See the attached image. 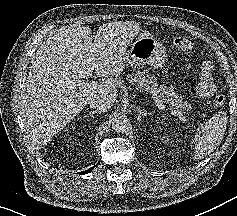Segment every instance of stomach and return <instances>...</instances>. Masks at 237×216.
Listing matches in <instances>:
<instances>
[{
	"instance_id": "stomach-1",
	"label": "stomach",
	"mask_w": 237,
	"mask_h": 216,
	"mask_svg": "<svg viewBox=\"0 0 237 216\" xmlns=\"http://www.w3.org/2000/svg\"><path fill=\"white\" fill-rule=\"evenodd\" d=\"M128 65L136 66H162L165 64L167 55L162 44L153 37L143 36L138 38L125 53Z\"/></svg>"
}]
</instances>
